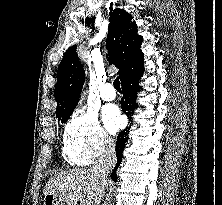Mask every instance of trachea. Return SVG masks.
I'll list each match as a JSON object with an SVG mask.
<instances>
[{"label": "trachea", "mask_w": 222, "mask_h": 205, "mask_svg": "<svg viewBox=\"0 0 222 205\" xmlns=\"http://www.w3.org/2000/svg\"><path fill=\"white\" fill-rule=\"evenodd\" d=\"M113 84H114V87H115L116 90H121L120 81H119L118 77L114 80Z\"/></svg>", "instance_id": "obj_1"}]
</instances>
